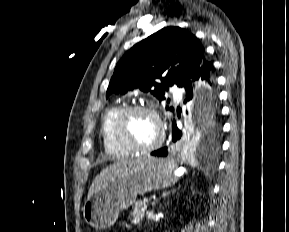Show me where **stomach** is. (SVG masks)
Masks as SVG:
<instances>
[{"label":"stomach","mask_w":289,"mask_h":232,"mask_svg":"<svg viewBox=\"0 0 289 232\" xmlns=\"http://www.w3.org/2000/svg\"><path fill=\"white\" fill-rule=\"evenodd\" d=\"M176 163L171 159L149 157L127 173L116 177L89 197L84 206L85 221L96 229L113 225L123 209L130 207L137 195L163 189L177 182Z\"/></svg>","instance_id":"stomach-1"}]
</instances>
